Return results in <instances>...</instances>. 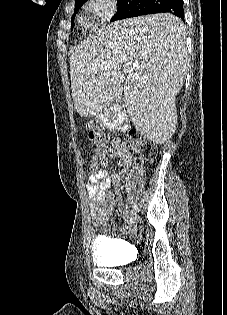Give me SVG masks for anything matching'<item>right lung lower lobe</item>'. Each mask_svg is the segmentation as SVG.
Listing matches in <instances>:
<instances>
[{"mask_svg": "<svg viewBox=\"0 0 227 315\" xmlns=\"http://www.w3.org/2000/svg\"><path fill=\"white\" fill-rule=\"evenodd\" d=\"M155 13H171L184 21L183 0H142L136 6L128 4L121 8L117 20Z\"/></svg>", "mask_w": 227, "mask_h": 315, "instance_id": "98d812e1", "label": "right lung lower lobe"}]
</instances>
